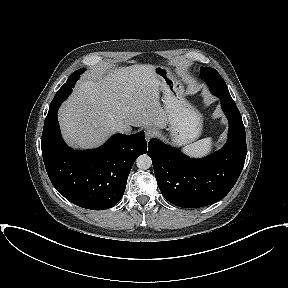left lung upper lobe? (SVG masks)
<instances>
[{"label": "left lung upper lobe", "instance_id": "obj_1", "mask_svg": "<svg viewBox=\"0 0 288 288\" xmlns=\"http://www.w3.org/2000/svg\"><path fill=\"white\" fill-rule=\"evenodd\" d=\"M201 76L208 82L211 92L219 98L233 100L230 96L228 87L220 74L210 67H201Z\"/></svg>", "mask_w": 288, "mask_h": 288}]
</instances>
